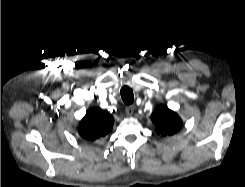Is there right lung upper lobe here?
I'll return each mask as SVG.
<instances>
[{
	"instance_id": "obj_1",
	"label": "right lung upper lobe",
	"mask_w": 245,
	"mask_h": 187,
	"mask_svg": "<svg viewBox=\"0 0 245 187\" xmlns=\"http://www.w3.org/2000/svg\"><path fill=\"white\" fill-rule=\"evenodd\" d=\"M113 116L99 108L89 110L78 128L79 135L87 140L94 141L106 136L112 129Z\"/></svg>"
}]
</instances>
